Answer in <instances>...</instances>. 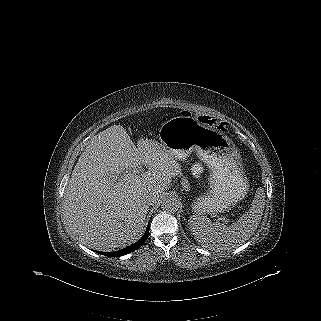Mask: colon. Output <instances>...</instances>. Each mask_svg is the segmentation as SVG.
I'll return each mask as SVG.
<instances>
[{"instance_id":"1","label":"colon","mask_w":321,"mask_h":321,"mask_svg":"<svg viewBox=\"0 0 321 321\" xmlns=\"http://www.w3.org/2000/svg\"><path fill=\"white\" fill-rule=\"evenodd\" d=\"M197 120L205 125L215 127L221 131L226 130V124L224 122H220L215 118L208 116V115H198Z\"/></svg>"}]
</instances>
